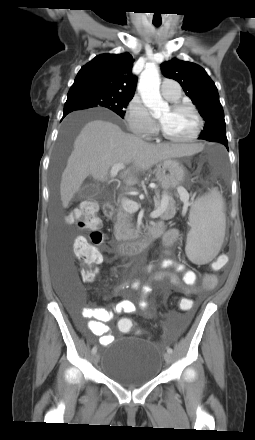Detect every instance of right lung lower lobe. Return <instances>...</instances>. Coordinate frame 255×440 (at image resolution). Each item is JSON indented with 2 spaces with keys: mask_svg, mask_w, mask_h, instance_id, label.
<instances>
[{
  "mask_svg": "<svg viewBox=\"0 0 255 440\" xmlns=\"http://www.w3.org/2000/svg\"><path fill=\"white\" fill-rule=\"evenodd\" d=\"M69 112H64L63 114V118L68 114Z\"/></svg>",
  "mask_w": 255,
  "mask_h": 440,
  "instance_id": "1",
  "label": "right lung lower lobe"
}]
</instances>
